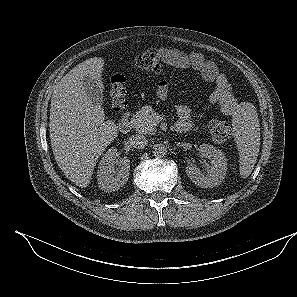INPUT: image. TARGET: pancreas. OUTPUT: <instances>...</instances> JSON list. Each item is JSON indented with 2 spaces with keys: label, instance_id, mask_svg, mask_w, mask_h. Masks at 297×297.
<instances>
[{
  "label": "pancreas",
  "instance_id": "pancreas-1",
  "mask_svg": "<svg viewBox=\"0 0 297 297\" xmlns=\"http://www.w3.org/2000/svg\"><path fill=\"white\" fill-rule=\"evenodd\" d=\"M157 114L151 106H144L139 109L132 118V126L136 132L145 135H152L156 132Z\"/></svg>",
  "mask_w": 297,
  "mask_h": 297
}]
</instances>
